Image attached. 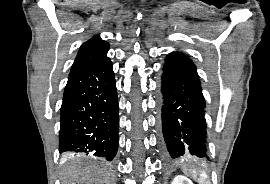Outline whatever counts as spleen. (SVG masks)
Wrapping results in <instances>:
<instances>
[{
	"instance_id": "1",
	"label": "spleen",
	"mask_w": 270,
	"mask_h": 184,
	"mask_svg": "<svg viewBox=\"0 0 270 184\" xmlns=\"http://www.w3.org/2000/svg\"><path fill=\"white\" fill-rule=\"evenodd\" d=\"M193 176L195 177V172L193 173ZM207 178V175L204 171L201 172L200 174V179H199V184H211L210 182L208 181H205Z\"/></svg>"
}]
</instances>
